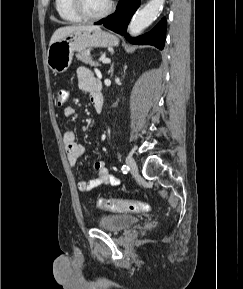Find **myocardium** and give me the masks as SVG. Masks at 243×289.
<instances>
[{"instance_id": "f54148a6", "label": "myocardium", "mask_w": 243, "mask_h": 289, "mask_svg": "<svg viewBox=\"0 0 243 289\" xmlns=\"http://www.w3.org/2000/svg\"><path fill=\"white\" fill-rule=\"evenodd\" d=\"M72 7L75 13L84 20H98L108 16L114 9V1L110 0L107 8L97 14H90L86 11L84 0H71Z\"/></svg>"}]
</instances>
